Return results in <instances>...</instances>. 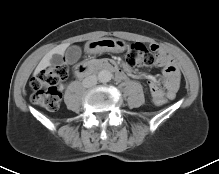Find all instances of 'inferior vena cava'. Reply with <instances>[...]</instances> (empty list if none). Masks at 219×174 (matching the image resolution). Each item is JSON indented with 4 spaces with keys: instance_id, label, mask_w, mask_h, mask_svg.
Wrapping results in <instances>:
<instances>
[{
    "instance_id": "1",
    "label": "inferior vena cava",
    "mask_w": 219,
    "mask_h": 174,
    "mask_svg": "<svg viewBox=\"0 0 219 174\" xmlns=\"http://www.w3.org/2000/svg\"><path fill=\"white\" fill-rule=\"evenodd\" d=\"M82 84L86 88H92L97 84V76L96 75H90L83 79Z\"/></svg>"
}]
</instances>
